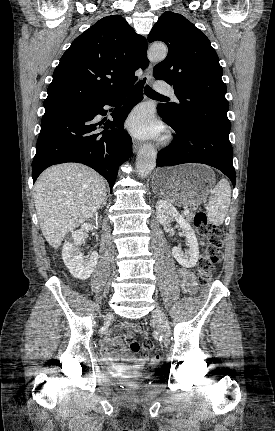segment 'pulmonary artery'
<instances>
[{
  "instance_id": "e3ab8cb5",
  "label": "pulmonary artery",
  "mask_w": 275,
  "mask_h": 431,
  "mask_svg": "<svg viewBox=\"0 0 275 431\" xmlns=\"http://www.w3.org/2000/svg\"><path fill=\"white\" fill-rule=\"evenodd\" d=\"M155 89L159 93L173 95L172 88L169 85H167L166 83H164V82H158V83H156Z\"/></svg>"
}]
</instances>
